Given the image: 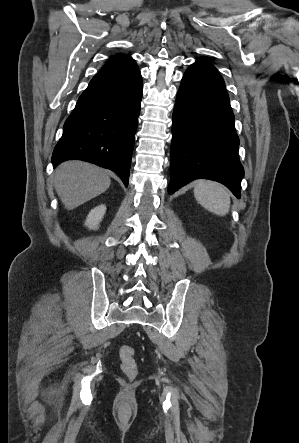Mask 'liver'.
Returning a JSON list of instances; mask_svg holds the SVG:
<instances>
[{"instance_id": "6515ba94", "label": "liver", "mask_w": 299, "mask_h": 443, "mask_svg": "<svg viewBox=\"0 0 299 443\" xmlns=\"http://www.w3.org/2000/svg\"><path fill=\"white\" fill-rule=\"evenodd\" d=\"M110 184L106 171L87 162L65 161L55 170L54 188L67 210H73L104 193Z\"/></svg>"}]
</instances>
